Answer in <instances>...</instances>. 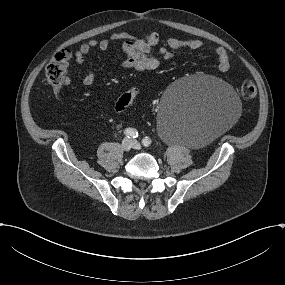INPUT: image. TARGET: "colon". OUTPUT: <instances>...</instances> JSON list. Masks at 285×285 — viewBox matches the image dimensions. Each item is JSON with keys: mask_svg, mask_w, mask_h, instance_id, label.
<instances>
[{"mask_svg": "<svg viewBox=\"0 0 285 285\" xmlns=\"http://www.w3.org/2000/svg\"><path fill=\"white\" fill-rule=\"evenodd\" d=\"M70 53L60 51L50 60L46 66V78L53 86H60L67 77ZM136 87L124 93L117 101L115 109L117 112L123 111L138 95ZM239 95L245 101L253 100L257 95V88L251 81H244L239 87Z\"/></svg>", "mask_w": 285, "mask_h": 285, "instance_id": "obj_1", "label": "colon"}]
</instances>
